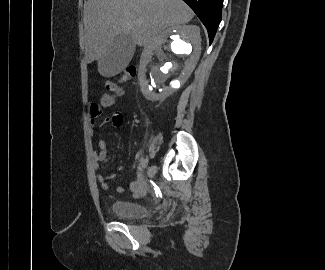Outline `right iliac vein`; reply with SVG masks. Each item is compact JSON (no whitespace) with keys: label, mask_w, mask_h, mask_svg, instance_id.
I'll list each match as a JSON object with an SVG mask.
<instances>
[{"label":"right iliac vein","mask_w":325,"mask_h":270,"mask_svg":"<svg viewBox=\"0 0 325 270\" xmlns=\"http://www.w3.org/2000/svg\"><path fill=\"white\" fill-rule=\"evenodd\" d=\"M155 173H156V167L155 166L149 167L148 173H147L148 177L152 178L155 175Z\"/></svg>","instance_id":"obj_1"}]
</instances>
